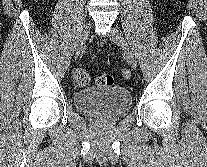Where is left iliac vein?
<instances>
[{"label": "left iliac vein", "instance_id": "4c4485c4", "mask_svg": "<svg viewBox=\"0 0 207 167\" xmlns=\"http://www.w3.org/2000/svg\"><path fill=\"white\" fill-rule=\"evenodd\" d=\"M109 37L115 44H117L121 48L127 62L130 64V66L133 69H136L137 68L136 58H135L131 48L127 44L125 38L123 37L122 33L118 29L113 28L109 34Z\"/></svg>", "mask_w": 207, "mask_h": 167}]
</instances>
